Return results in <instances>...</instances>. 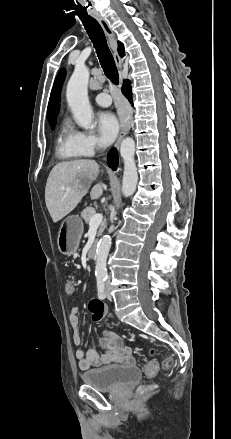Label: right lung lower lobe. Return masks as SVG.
Here are the masks:
<instances>
[{
  "label": "right lung lower lobe",
  "instance_id": "98d812e1",
  "mask_svg": "<svg viewBox=\"0 0 231 439\" xmlns=\"http://www.w3.org/2000/svg\"><path fill=\"white\" fill-rule=\"evenodd\" d=\"M122 93L129 100V102L132 104L133 99H132V91H131V86H130L129 80H124V83L122 86ZM107 162H108L109 167H111L113 170H116V168L118 166V155H117V150L115 148H112L109 151L108 156H107Z\"/></svg>",
  "mask_w": 231,
  "mask_h": 439
}]
</instances>
